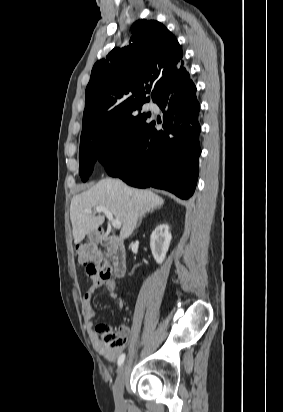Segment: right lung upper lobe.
I'll use <instances>...</instances> for the list:
<instances>
[{
  "mask_svg": "<svg viewBox=\"0 0 283 412\" xmlns=\"http://www.w3.org/2000/svg\"><path fill=\"white\" fill-rule=\"evenodd\" d=\"M130 44L113 49L92 69L85 97L81 139L108 131L133 109L155 102L171 83L190 77L175 36L155 20H138Z\"/></svg>",
  "mask_w": 283,
  "mask_h": 412,
  "instance_id": "cb5924a9",
  "label": "right lung upper lobe"
}]
</instances>
